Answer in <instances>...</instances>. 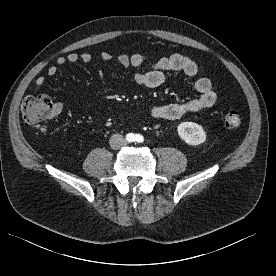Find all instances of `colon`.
<instances>
[{
	"instance_id": "colon-1",
	"label": "colon",
	"mask_w": 276,
	"mask_h": 276,
	"mask_svg": "<svg viewBox=\"0 0 276 276\" xmlns=\"http://www.w3.org/2000/svg\"><path fill=\"white\" fill-rule=\"evenodd\" d=\"M22 118L26 124L34 128L38 133H45L46 121L50 120L55 113V105L47 95L27 96L21 105ZM224 123L230 129L241 126L242 117L236 110H230L225 114Z\"/></svg>"
}]
</instances>
